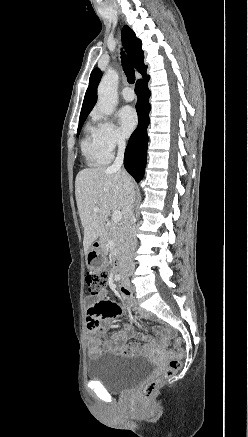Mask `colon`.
<instances>
[{"mask_svg": "<svg viewBox=\"0 0 248 437\" xmlns=\"http://www.w3.org/2000/svg\"><path fill=\"white\" fill-rule=\"evenodd\" d=\"M110 275L106 272H88L86 283L90 294H99L108 284ZM182 342L179 338L173 340V349L170 352V359L162 374L147 383L139 390L142 400H148L162 383L171 378L181 367Z\"/></svg>", "mask_w": 248, "mask_h": 437, "instance_id": "obj_1", "label": "colon"}]
</instances>
